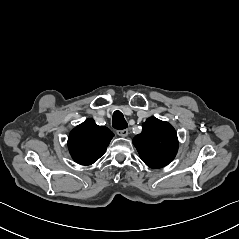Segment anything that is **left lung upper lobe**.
Segmentation results:
<instances>
[{"label": "left lung upper lobe", "mask_w": 239, "mask_h": 239, "mask_svg": "<svg viewBox=\"0 0 239 239\" xmlns=\"http://www.w3.org/2000/svg\"><path fill=\"white\" fill-rule=\"evenodd\" d=\"M133 144L142 161L151 168L168 165L178 151V138L173 126L155 117L143 123L142 132L134 137Z\"/></svg>", "instance_id": "5c2ea615"}]
</instances>
